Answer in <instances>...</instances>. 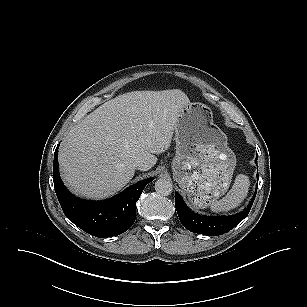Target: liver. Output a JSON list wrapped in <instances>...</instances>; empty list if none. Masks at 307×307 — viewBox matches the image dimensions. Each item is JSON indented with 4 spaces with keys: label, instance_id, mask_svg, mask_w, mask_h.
Here are the masks:
<instances>
[{
    "label": "liver",
    "instance_id": "obj_1",
    "mask_svg": "<svg viewBox=\"0 0 307 307\" xmlns=\"http://www.w3.org/2000/svg\"><path fill=\"white\" fill-rule=\"evenodd\" d=\"M190 101L178 89L134 91L105 102L73 126L59 150L62 178L75 194L103 199L134 177L135 161L151 169L171 145Z\"/></svg>",
    "mask_w": 307,
    "mask_h": 307
}]
</instances>
